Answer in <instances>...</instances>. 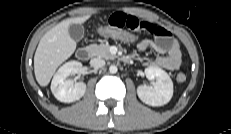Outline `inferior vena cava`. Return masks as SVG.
<instances>
[{"label":"inferior vena cava","mask_w":231,"mask_h":134,"mask_svg":"<svg viewBox=\"0 0 231 134\" xmlns=\"http://www.w3.org/2000/svg\"><path fill=\"white\" fill-rule=\"evenodd\" d=\"M90 65L94 68H101L105 65V61L100 58H93L90 61Z\"/></svg>","instance_id":"obj_1"}]
</instances>
